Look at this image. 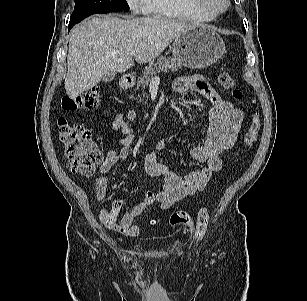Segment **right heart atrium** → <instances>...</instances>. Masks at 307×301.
Returning a JSON list of instances; mask_svg holds the SVG:
<instances>
[{"label": "right heart atrium", "mask_w": 307, "mask_h": 301, "mask_svg": "<svg viewBox=\"0 0 307 301\" xmlns=\"http://www.w3.org/2000/svg\"><path fill=\"white\" fill-rule=\"evenodd\" d=\"M129 8L134 12L146 13L150 0H126Z\"/></svg>", "instance_id": "right-heart-atrium-1"}]
</instances>
